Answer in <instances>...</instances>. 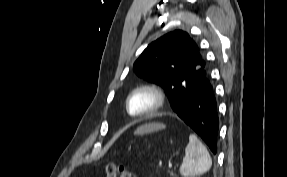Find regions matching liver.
<instances>
[{
    "mask_svg": "<svg viewBox=\"0 0 287 177\" xmlns=\"http://www.w3.org/2000/svg\"><path fill=\"white\" fill-rule=\"evenodd\" d=\"M166 126L161 123H152V124H146L141 127H139L134 134L135 135H141L145 133H151L153 131H158L164 129Z\"/></svg>",
    "mask_w": 287,
    "mask_h": 177,
    "instance_id": "1",
    "label": "liver"
}]
</instances>
